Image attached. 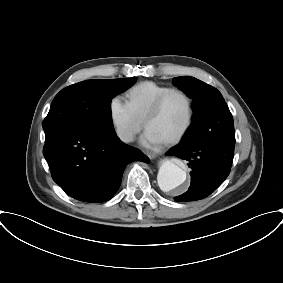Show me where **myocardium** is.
<instances>
[{
    "instance_id": "obj_1",
    "label": "myocardium",
    "mask_w": 283,
    "mask_h": 283,
    "mask_svg": "<svg viewBox=\"0 0 283 283\" xmlns=\"http://www.w3.org/2000/svg\"><path fill=\"white\" fill-rule=\"evenodd\" d=\"M173 93H178L182 95L185 98L186 104H187V118L183 125V127L180 129V131L175 134L173 137L167 139L164 141L165 144H174L179 142L185 134L188 132L194 118V107H193V100L190 94L185 91L182 88L179 87H170L166 91H164L152 104L150 109L148 110L144 120H143V126L145 129H147V125L151 119H153L161 110L164 102L168 98L169 95Z\"/></svg>"
}]
</instances>
